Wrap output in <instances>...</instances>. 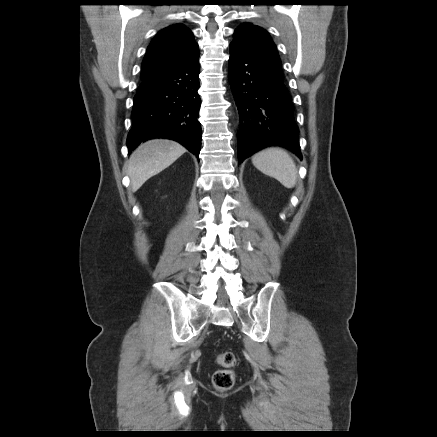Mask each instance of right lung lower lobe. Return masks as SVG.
<instances>
[{
  "label": "right lung lower lobe",
  "mask_w": 437,
  "mask_h": 437,
  "mask_svg": "<svg viewBox=\"0 0 437 437\" xmlns=\"http://www.w3.org/2000/svg\"><path fill=\"white\" fill-rule=\"evenodd\" d=\"M198 75L199 55L141 82L134 97L133 126L127 137L129 151L142 141L168 138L199 155L202 131L197 120L201 105Z\"/></svg>",
  "instance_id": "1"
}]
</instances>
